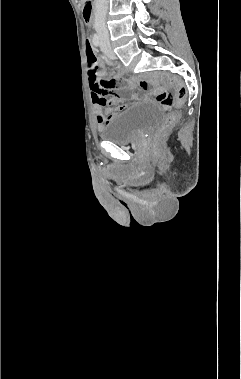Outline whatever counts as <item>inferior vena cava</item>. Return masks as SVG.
Instances as JSON below:
<instances>
[{
  "label": "inferior vena cava",
  "instance_id": "inferior-vena-cava-1",
  "mask_svg": "<svg viewBox=\"0 0 241 379\" xmlns=\"http://www.w3.org/2000/svg\"><path fill=\"white\" fill-rule=\"evenodd\" d=\"M95 30L100 38L109 41V33L106 26V14L108 11L107 0H95Z\"/></svg>",
  "mask_w": 241,
  "mask_h": 379
}]
</instances>
